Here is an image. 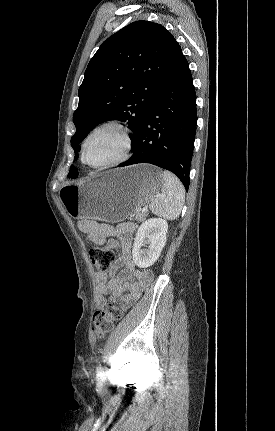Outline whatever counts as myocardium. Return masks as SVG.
Here are the masks:
<instances>
[{
  "mask_svg": "<svg viewBox=\"0 0 275 431\" xmlns=\"http://www.w3.org/2000/svg\"><path fill=\"white\" fill-rule=\"evenodd\" d=\"M107 128L115 129L121 134V136L123 138L122 153L118 158H116L112 161H109V162H106L103 164H91L86 159L87 144L94 134H96L97 132H99L103 129H107ZM132 146H133V142H132V137H131V133H130L129 128L119 120H108V121H105V122L98 124L87 134V136L83 140L82 146H81V160L85 165H87L93 169H107V168L115 167V166L123 164L124 162H126L130 158Z\"/></svg>",
  "mask_w": 275,
  "mask_h": 431,
  "instance_id": "obj_1",
  "label": "myocardium"
}]
</instances>
